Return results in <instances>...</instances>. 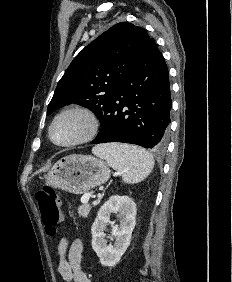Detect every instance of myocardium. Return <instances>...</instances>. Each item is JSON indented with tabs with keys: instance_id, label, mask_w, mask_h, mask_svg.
Returning <instances> with one entry per match:
<instances>
[{
	"instance_id": "f54148a6",
	"label": "myocardium",
	"mask_w": 232,
	"mask_h": 282,
	"mask_svg": "<svg viewBox=\"0 0 232 282\" xmlns=\"http://www.w3.org/2000/svg\"><path fill=\"white\" fill-rule=\"evenodd\" d=\"M69 116H79L86 121V129L85 131L77 138L67 141V142H57L53 138V128L63 118ZM100 128V123L97 115L89 108L84 106H72L63 109L59 113H57L54 118L51 120L48 126V138L50 142L60 148H72L79 145L86 144L93 140L95 136L98 134Z\"/></svg>"
}]
</instances>
